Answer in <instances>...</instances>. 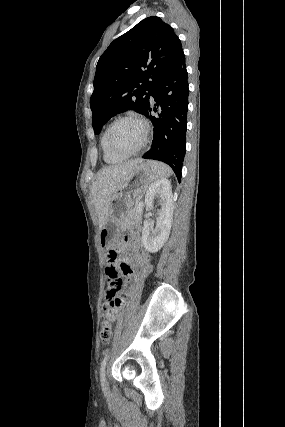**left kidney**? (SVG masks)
I'll return each mask as SVG.
<instances>
[{"instance_id": "obj_1", "label": "left kidney", "mask_w": 285, "mask_h": 427, "mask_svg": "<svg viewBox=\"0 0 285 427\" xmlns=\"http://www.w3.org/2000/svg\"><path fill=\"white\" fill-rule=\"evenodd\" d=\"M172 197V187L166 179L154 182L146 192L144 204L147 208H153L156 198L161 200V209L155 228L146 220L142 229L143 246L151 253L158 252L169 237L173 220Z\"/></svg>"}]
</instances>
